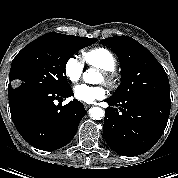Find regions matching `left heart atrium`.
I'll return each mask as SVG.
<instances>
[{
    "instance_id": "obj_1",
    "label": "left heart atrium",
    "mask_w": 178,
    "mask_h": 178,
    "mask_svg": "<svg viewBox=\"0 0 178 178\" xmlns=\"http://www.w3.org/2000/svg\"><path fill=\"white\" fill-rule=\"evenodd\" d=\"M105 95L106 90L102 86L79 84L74 88L75 98L86 103H93L96 100L102 99Z\"/></svg>"
}]
</instances>
